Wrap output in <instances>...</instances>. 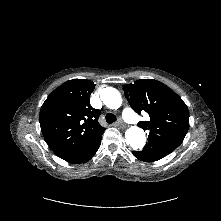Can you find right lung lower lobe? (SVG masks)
I'll return each instance as SVG.
<instances>
[{"label":"right lung lower lobe","mask_w":221,"mask_h":221,"mask_svg":"<svg viewBox=\"0 0 221 221\" xmlns=\"http://www.w3.org/2000/svg\"><path fill=\"white\" fill-rule=\"evenodd\" d=\"M102 134L94 137L81 151L64 160L73 164H81L89 161L100 147Z\"/></svg>","instance_id":"obj_1"}]
</instances>
